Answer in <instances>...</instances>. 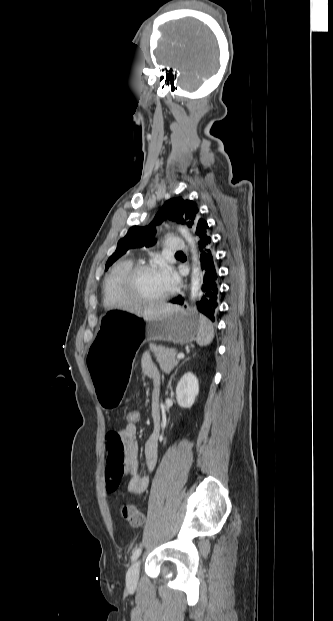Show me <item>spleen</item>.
I'll use <instances>...</instances> for the list:
<instances>
[{
	"mask_svg": "<svg viewBox=\"0 0 333 621\" xmlns=\"http://www.w3.org/2000/svg\"><path fill=\"white\" fill-rule=\"evenodd\" d=\"M214 338V328L211 321L200 314L199 316V328L196 337V342L199 346L209 345Z\"/></svg>",
	"mask_w": 333,
	"mask_h": 621,
	"instance_id": "3e777b00",
	"label": "spleen"
}]
</instances>
